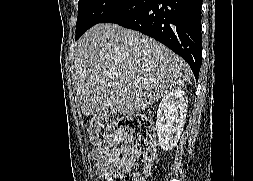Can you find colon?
Wrapping results in <instances>:
<instances>
[{
	"label": "colon",
	"mask_w": 253,
	"mask_h": 181,
	"mask_svg": "<svg viewBox=\"0 0 253 181\" xmlns=\"http://www.w3.org/2000/svg\"><path fill=\"white\" fill-rule=\"evenodd\" d=\"M90 130L94 142L104 148L127 142L124 159L107 181L147 180L156 147L154 127L147 117L108 113L94 120Z\"/></svg>",
	"instance_id": "obj_1"
}]
</instances>
